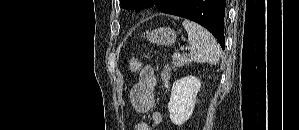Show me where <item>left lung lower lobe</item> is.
I'll return each mask as SVG.
<instances>
[{
    "instance_id": "obj_1",
    "label": "left lung lower lobe",
    "mask_w": 299,
    "mask_h": 130,
    "mask_svg": "<svg viewBox=\"0 0 299 130\" xmlns=\"http://www.w3.org/2000/svg\"><path fill=\"white\" fill-rule=\"evenodd\" d=\"M156 5L163 13L199 23L208 29L220 43L222 49H225L223 28L225 0H162Z\"/></svg>"
}]
</instances>
